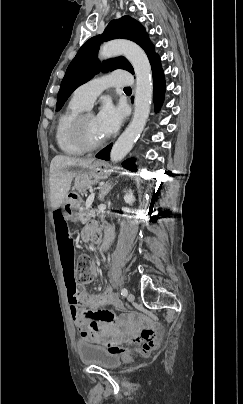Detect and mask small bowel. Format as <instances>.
I'll return each mask as SVG.
<instances>
[{"mask_svg": "<svg viewBox=\"0 0 243 404\" xmlns=\"http://www.w3.org/2000/svg\"><path fill=\"white\" fill-rule=\"evenodd\" d=\"M53 224L65 285L70 299L72 293L81 291V289L75 281L73 241L68 232L66 217L61 209H56L53 212ZM94 229L96 228L93 224L89 225L85 230L84 239H86L88 234L92 233ZM112 236V231L107 229L104 247H107ZM70 314L79 329L82 342L101 343L109 338H121L119 331L116 329V318L114 314L107 309L83 310L75 303L71 302ZM120 324H123V321H120Z\"/></svg>", "mask_w": 243, "mask_h": 404, "instance_id": "small-bowel-1", "label": "small bowel"}]
</instances>
